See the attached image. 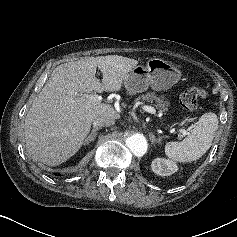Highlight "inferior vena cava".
I'll return each mask as SVG.
<instances>
[{
	"instance_id": "inferior-vena-cava-1",
	"label": "inferior vena cava",
	"mask_w": 237,
	"mask_h": 237,
	"mask_svg": "<svg viewBox=\"0 0 237 237\" xmlns=\"http://www.w3.org/2000/svg\"><path fill=\"white\" fill-rule=\"evenodd\" d=\"M115 124V118L111 116H99L93 121L94 127L111 126Z\"/></svg>"
}]
</instances>
